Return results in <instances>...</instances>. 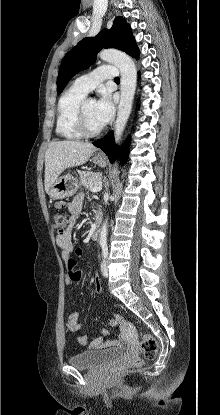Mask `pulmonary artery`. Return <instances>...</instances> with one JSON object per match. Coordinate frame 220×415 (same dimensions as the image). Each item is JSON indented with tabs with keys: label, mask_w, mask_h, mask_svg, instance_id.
I'll return each instance as SVG.
<instances>
[{
	"label": "pulmonary artery",
	"mask_w": 220,
	"mask_h": 415,
	"mask_svg": "<svg viewBox=\"0 0 220 415\" xmlns=\"http://www.w3.org/2000/svg\"><path fill=\"white\" fill-rule=\"evenodd\" d=\"M118 75V69L113 65H102L92 72L78 77L73 87L85 94L92 91L97 85L106 79H113Z\"/></svg>",
	"instance_id": "1"
}]
</instances>
